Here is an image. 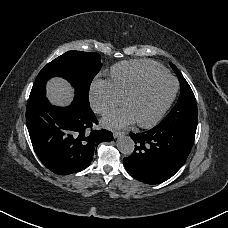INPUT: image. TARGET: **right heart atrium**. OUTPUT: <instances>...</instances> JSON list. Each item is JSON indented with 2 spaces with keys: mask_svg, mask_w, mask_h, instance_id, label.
<instances>
[{
  "mask_svg": "<svg viewBox=\"0 0 228 228\" xmlns=\"http://www.w3.org/2000/svg\"><path fill=\"white\" fill-rule=\"evenodd\" d=\"M123 98L109 80H96L90 89V103L95 112L105 114L122 104Z\"/></svg>",
  "mask_w": 228,
  "mask_h": 228,
  "instance_id": "right-heart-atrium-1",
  "label": "right heart atrium"
}]
</instances>
